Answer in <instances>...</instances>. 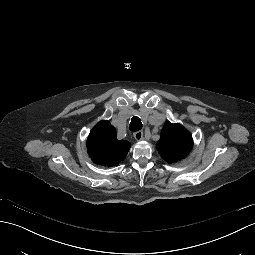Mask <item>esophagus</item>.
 <instances>
[{
  "label": "esophagus",
  "mask_w": 255,
  "mask_h": 255,
  "mask_svg": "<svg viewBox=\"0 0 255 255\" xmlns=\"http://www.w3.org/2000/svg\"><path fill=\"white\" fill-rule=\"evenodd\" d=\"M134 138L137 140V141H141L142 140V138H143V132L142 131H136L135 133H134Z\"/></svg>",
  "instance_id": "obj_1"
}]
</instances>
